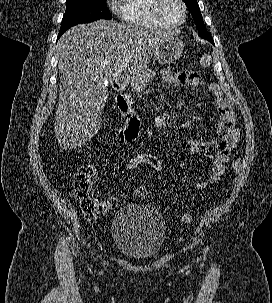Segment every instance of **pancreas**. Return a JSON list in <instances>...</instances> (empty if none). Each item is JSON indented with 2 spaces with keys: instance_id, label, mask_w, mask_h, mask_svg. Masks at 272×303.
Segmentation results:
<instances>
[{
  "instance_id": "obj_1",
  "label": "pancreas",
  "mask_w": 272,
  "mask_h": 303,
  "mask_svg": "<svg viewBox=\"0 0 272 303\" xmlns=\"http://www.w3.org/2000/svg\"><path fill=\"white\" fill-rule=\"evenodd\" d=\"M154 76L155 72L150 69H146L134 76L131 81L132 91L136 93L143 91Z\"/></svg>"
}]
</instances>
